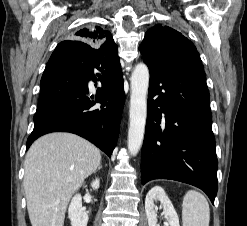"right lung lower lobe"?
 Returning <instances> with one entry per match:
<instances>
[{"instance_id":"1","label":"right lung lower lobe","mask_w":247,"mask_h":226,"mask_svg":"<svg viewBox=\"0 0 247 226\" xmlns=\"http://www.w3.org/2000/svg\"><path fill=\"white\" fill-rule=\"evenodd\" d=\"M118 48H94L77 40L63 41L52 53L41 78L34 129L27 149L38 137L57 131L77 134L109 157L116 146L125 102ZM99 76L96 97L88 81ZM100 103V107L95 104Z\"/></svg>"}]
</instances>
